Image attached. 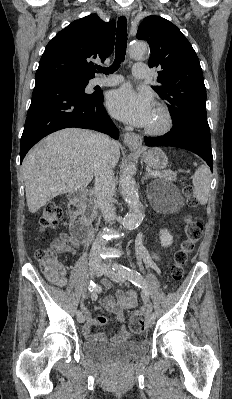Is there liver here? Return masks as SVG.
Returning a JSON list of instances; mask_svg holds the SVG:
<instances>
[{"label": "liver", "mask_w": 232, "mask_h": 399, "mask_svg": "<svg viewBox=\"0 0 232 399\" xmlns=\"http://www.w3.org/2000/svg\"><path fill=\"white\" fill-rule=\"evenodd\" d=\"M102 150L89 130L67 128L44 138L28 152L22 164L29 211L35 213L60 194L87 188ZM109 152V164L115 168L120 158L119 144L114 142Z\"/></svg>", "instance_id": "1"}]
</instances>
